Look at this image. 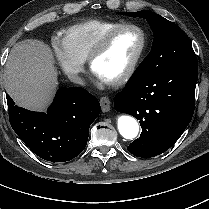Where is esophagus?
I'll return each instance as SVG.
<instances>
[{"instance_id":"1","label":"esophagus","mask_w":209,"mask_h":209,"mask_svg":"<svg viewBox=\"0 0 209 209\" xmlns=\"http://www.w3.org/2000/svg\"><path fill=\"white\" fill-rule=\"evenodd\" d=\"M100 105L103 112H108L110 110V100L108 97L103 96L100 98Z\"/></svg>"}]
</instances>
